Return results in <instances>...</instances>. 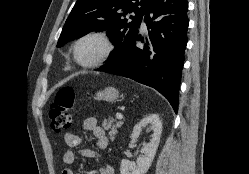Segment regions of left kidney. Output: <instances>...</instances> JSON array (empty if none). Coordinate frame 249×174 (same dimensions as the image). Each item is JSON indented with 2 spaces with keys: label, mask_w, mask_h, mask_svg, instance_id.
<instances>
[{
  "label": "left kidney",
  "mask_w": 249,
  "mask_h": 174,
  "mask_svg": "<svg viewBox=\"0 0 249 174\" xmlns=\"http://www.w3.org/2000/svg\"><path fill=\"white\" fill-rule=\"evenodd\" d=\"M146 125H150V127L153 129V134L150 142L146 144L141 150V153L144 155L137 158L136 162L123 159L120 166L121 174H145L150 168L155 157L162 133V123L159 115L150 114L137 123L133 128L131 139H138L142 128Z\"/></svg>",
  "instance_id": "obj_1"
}]
</instances>
